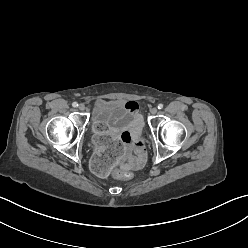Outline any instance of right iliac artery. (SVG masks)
<instances>
[{
  "instance_id": "obj_1",
  "label": "right iliac artery",
  "mask_w": 248,
  "mask_h": 248,
  "mask_svg": "<svg viewBox=\"0 0 248 248\" xmlns=\"http://www.w3.org/2000/svg\"><path fill=\"white\" fill-rule=\"evenodd\" d=\"M72 106H73V107H77V106H78V103H77V102H73V103H72Z\"/></svg>"
}]
</instances>
